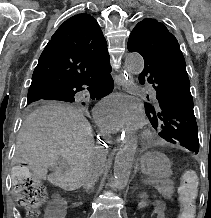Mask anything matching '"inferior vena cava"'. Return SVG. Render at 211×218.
Returning <instances> with one entry per match:
<instances>
[{"mask_svg": "<svg viewBox=\"0 0 211 218\" xmlns=\"http://www.w3.org/2000/svg\"><path fill=\"white\" fill-rule=\"evenodd\" d=\"M99 154L100 158H104V152H99ZM100 164H102V162L101 160H98L95 170H91L90 174L84 178L82 186H84L85 190H91V188L95 186V182H97L98 176H100L102 172Z\"/></svg>", "mask_w": 211, "mask_h": 218, "instance_id": "602c4592", "label": "inferior vena cava"}]
</instances>
